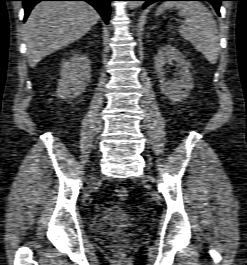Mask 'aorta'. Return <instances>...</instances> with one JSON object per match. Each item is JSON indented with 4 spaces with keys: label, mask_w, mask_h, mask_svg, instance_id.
<instances>
[{
    "label": "aorta",
    "mask_w": 247,
    "mask_h": 265,
    "mask_svg": "<svg viewBox=\"0 0 247 265\" xmlns=\"http://www.w3.org/2000/svg\"><path fill=\"white\" fill-rule=\"evenodd\" d=\"M142 4L141 1H129L128 2V8L129 9H135L138 8Z\"/></svg>",
    "instance_id": "762f6f07"
}]
</instances>
